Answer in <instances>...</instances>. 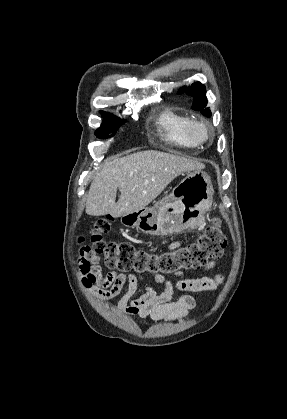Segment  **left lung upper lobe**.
<instances>
[{
    "label": "left lung upper lobe",
    "mask_w": 287,
    "mask_h": 419,
    "mask_svg": "<svg viewBox=\"0 0 287 419\" xmlns=\"http://www.w3.org/2000/svg\"><path fill=\"white\" fill-rule=\"evenodd\" d=\"M186 92L193 99L192 108L194 110L200 111L203 115L210 117L211 110L206 107L207 98L205 86L200 82L192 83L189 87H182L178 94Z\"/></svg>",
    "instance_id": "5c2ea615"
}]
</instances>
